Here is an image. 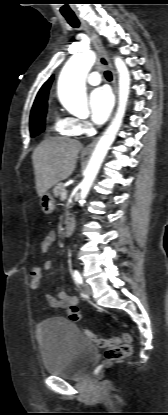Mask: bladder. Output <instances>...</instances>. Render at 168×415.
Wrapping results in <instances>:
<instances>
[{
  "label": "bladder",
  "mask_w": 168,
  "mask_h": 415,
  "mask_svg": "<svg viewBox=\"0 0 168 415\" xmlns=\"http://www.w3.org/2000/svg\"><path fill=\"white\" fill-rule=\"evenodd\" d=\"M40 341L45 371L53 376L79 378L98 355L75 323L63 317L41 323Z\"/></svg>",
  "instance_id": "obj_1"
}]
</instances>
